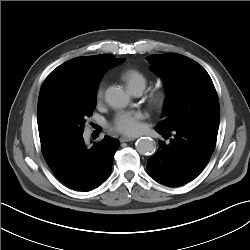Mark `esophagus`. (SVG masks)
Wrapping results in <instances>:
<instances>
[{
    "label": "esophagus",
    "mask_w": 250,
    "mask_h": 250,
    "mask_svg": "<svg viewBox=\"0 0 250 250\" xmlns=\"http://www.w3.org/2000/svg\"><path fill=\"white\" fill-rule=\"evenodd\" d=\"M135 140V138H133V137H128V136H122L121 138H120V142H130V141H134Z\"/></svg>",
    "instance_id": "esophagus-1"
}]
</instances>
